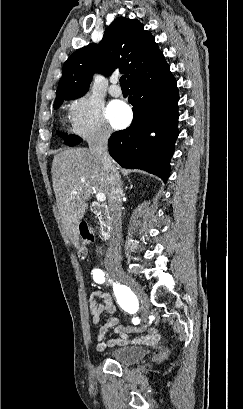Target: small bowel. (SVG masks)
Masks as SVG:
<instances>
[{"instance_id":"c3829d8e","label":"small bowel","mask_w":243,"mask_h":409,"mask_svg":"<svg viewBox=\"0 0 243 409\" xmlns=\"http://www.w3.org/2000/svg\"><path fill=\"white\" fill-rule=\"evenodd\" d=\"M90 313L93 315V323H98L103 313L113 315L116 312L114 298L109 291H95L88 300ZM134 319V318H133ZM132 319V321H133ZM110 328L117 335L111 339H105ZM136 334L130 337L129 334ZM97 349L105 351L115 346L135 344L141 346L156 347L162 344L160 331L153 327H135L120 324L116 317H110L101 323L97 333Z\"/></svg>"}]
</instances>
